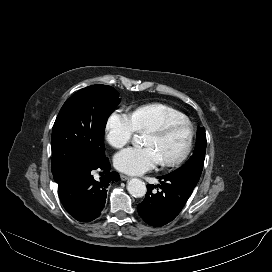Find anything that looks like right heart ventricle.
<instances>
[{
    "label": "right heart ventricle",
    "instance_id": "obj_1",
    "mask_svg": "<svg viewBox=\"0 0 272 272\" xmlns=\"http://www.w3.org/2000/svg\"><path fill=\"white\" fill-rule=\"evenodd\" d=\"M132 115L138 132H149L168 122L187 121L182 112L162 103L139 106Z\"/></svg>",
    "mask_w": 272,
    "mask_h": 272
}]
</instances>
